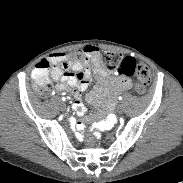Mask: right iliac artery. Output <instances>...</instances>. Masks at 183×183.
Returning a JSON list of instances; mask_svg holds the SVG:
<instances>
[{"instance_id":"right-iliac-artery-1","label":"right iliac artery","mask_w":183,"mask_h":183,"mask_svg":"<svg viewBox=\"0 0 183 183\" xmlns=\"http://www.w3.org/2000/svg\"><path fill=\"white\" fill-rule=\"evenodd\" d=\"M62 100H63V101H65V100H66V98H65V97H62Z\"/></svg>"}]
</instances>
